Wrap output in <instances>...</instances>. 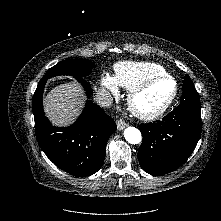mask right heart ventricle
Segmentation results:
<instances>
[{
  "label": "right heart ventricle",
  "mask_w": 221,
  "mask_h": 221,
  "mask_svg": "<svg viewBox=\"0 0 221 221\" xmlns=\"http://www.w3.org/2000/svg\"><path fill=\"white\" fill-rule=\"evenodd\" d=\"M114 80L116 84L131 91L148 79L166 74L165 69L150 62H119L114 66Z\"/></svg>",
  "instance_id": "obj_1"
}]
</instances>
